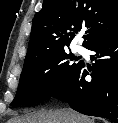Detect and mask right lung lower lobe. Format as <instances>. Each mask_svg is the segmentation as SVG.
Instances as JSON below:
<instances>
[{
	"mask_svg": "<svg viewBox=\"0 0 118 123\" xmlns=\"http://www.w3.org/2000/svg\"><path fill=\"white\" fill-rule=\"evenodd\" d=\"M96 54L89 73L84 63L73 77L51 97L69 103L72 109L118 123V34L88 48ZM92 80L86 81L85 76Z\"/></svg>",
	"mask_w": 118,
	"mask_h": 123,
	"instance_id": "right-lung-lower-lobe-1",
	"label": "right lung lower lobe"
}]
</instances>
